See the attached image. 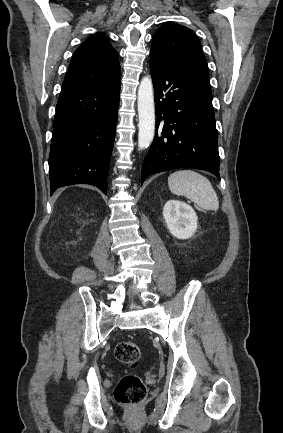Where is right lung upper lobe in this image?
Masks as SVG:
<instances>
[{
  "label": "right lung upper lobe",
  "instance_id": "obj_1",
  "mask_svg": "<svg viewBox=\"0 0 283 433\" xmlns=\"http://www.w3.org/2000/svg\"><path fill=\"white\" fill-rule=\"evenodd\" d=\"M118 52L98 33L75 51L61 93L96 87L120 77Z\"/></svg>",
  "mask_w": 283,
  "mask_h": 433
}]
</instances>
